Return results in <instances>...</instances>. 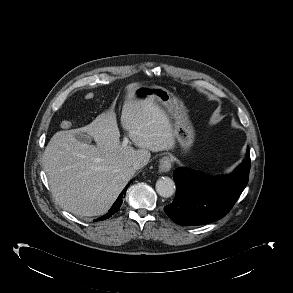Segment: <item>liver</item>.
<instances>
[{
  "mask_svg": "<svg viewBox=\"0 0 293 293\" xmlns=\"http://www.w3.org/2000/svg\"><path fill=\"white\" fill-rule=\"evenodd\" d=\"M138 86L134 83L126 87L121 114V124L138 150L120 143L115 101L90 124L59 131L50 139L43 168L52 195L64 210L78 216L105 214L135 174L134 162L149 161L150 151L175 148L169 117L154 100H135ZM78 133H87L96 146L78 141L74 136Z\"/></svg>",
  "mask_w": 293,
  "mask_h": 293,
  "instance_id": "1",
  "label": "liver"
}]
</instances>
